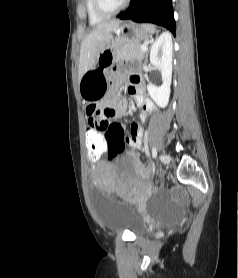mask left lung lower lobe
Masks as SVG:
<instances>
[{
	"instance_id": "left-lung-lower-lobe-1",
	"label": "left lung lower lobe",
	"mask_w": 238,
	"mask_h": 278,
	"mask_svg": "<svg viewBox=\"0 0 238 278\" xmlns=\"http://www.w3.org/2000/svg\"><path fill=\"white\" fill-rule=\"evenodd\" d=\"M122 20L150 22L176 32L171 0H132L130 7L118 16Z\"/></svg>"
}]
</instances>
